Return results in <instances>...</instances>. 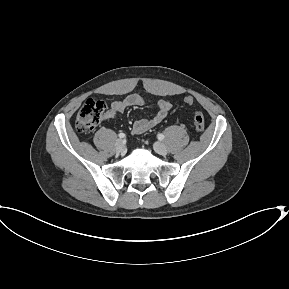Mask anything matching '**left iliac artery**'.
Here are the masks:
<instances>
[{"instance_id":"left-iliac-artery-1","label":"left iliac artery","mask_w":289,"mask_h":289,"mask_svg":"<svg viewBox=\"0 0 289 289\" xmlns=\"http://www.w3.org/2000/svg\"><path fill=\"white\" fill-rule=\"evenodd\" d=\"M157 137H158V139H159V140H163V139H164V135H163V134H161V133H160V134H158V136H157Z\"/></svg>"}]
</instances>
